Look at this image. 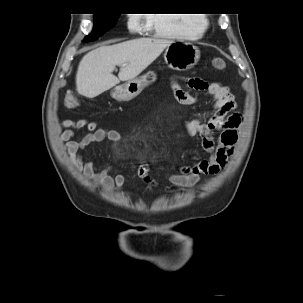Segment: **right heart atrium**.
<instances>
[{
  "instance_id": "1",
  "label": "right heart atrium",
  "mask_w": 303,
  "mask_h": 303,
  "mask_svg": "<svg viewBox=\"0 0 303 303\" xmlns=\"http://www.w3.org/2000/svg\"><path fill=\"white\" fill-rule=\"evenodd\" d=\"M142 23V15L141 14H131L128 19V26L132 30L139 29Z\"/></svg>"
}]
</instances>
